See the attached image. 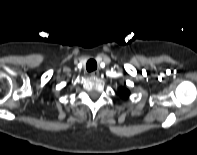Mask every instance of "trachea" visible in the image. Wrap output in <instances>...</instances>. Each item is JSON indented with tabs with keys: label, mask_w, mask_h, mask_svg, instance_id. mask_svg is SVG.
<instances>
[{
	"label": "trachea",
	"mask_w": 197,
	"mask_h": 155,
	"mask_svg": "<svg viewBox=\"0 0 197 155\" xmlns=\"http://www.w3.org/2000/svg\"><path fill=\"white\" fill-rule=\"evenodd\" d=\"M86 69L89 72H92L97 69V62L94 59H89L86 64Z\"/></svg>",
	"instance_id": "1"
}]
</instances>
